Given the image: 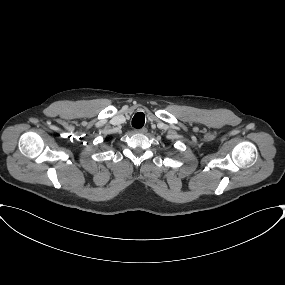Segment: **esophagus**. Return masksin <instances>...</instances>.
Segmentation results:
<instances>
[{"label": "esophagus", "instance_id": "1", "mask_svg": "<svg viewBox=\"0 0 285 285\" xmlns=\"http://www.w3.org/2000/svg\"><path fill=\"white\" fill-rule=\"evenodd\" d=\"M135 132L136 133L145 134V133H147V128L143 127V128H140V129H136Z\"/></svg>", "mask_w": 285, "mask_h": 285}]
</instances>
